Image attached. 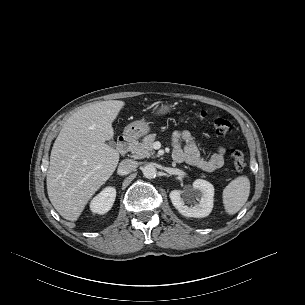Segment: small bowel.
<instances>
[{
  "label": "small bowel",
  "mask_w": 305,
  "mask_h": 305,
  "mask_svg": "<svg viewBox=\"0 0 305 305\" xmlns=\"http://www.w3.org/2000/svg\"><path fill=\"white\" fill-rule=\"evenodd\" d=\"M173 159L178 162H186L204 171L212 172L224 164L225 150L219 149L210 158L200 155L196 143L188 131H177L172 137Z\"/></svg>",
  "instance_id": "1"
}]
</instances>
